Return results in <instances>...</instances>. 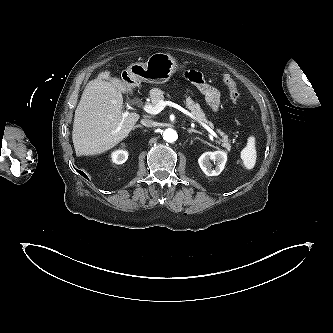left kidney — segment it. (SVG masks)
<instances>
[{"label": "left kidney", "mask_w": 333, "mask_h": 333, "mask_svg": "<svg viewBox=\"0 0 333 333\" xmlns=\"http://www.w3.org/2000/svg\"><path fill=\"white\" fill-rule=\"evenodd\" d=\"M211 160L215 164L214 169H212ZM226 161L227 154L224 151L205 152L198 159L200 168L207 176L219 175L224 169Z\"/></svg>", "instance_id": "left-kidney-1"}]
</instances>
